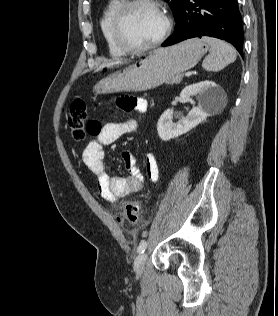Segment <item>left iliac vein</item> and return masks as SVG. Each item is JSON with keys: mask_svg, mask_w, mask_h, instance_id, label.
I'll use <instances>...</instances> for the list:
<instances>
[{"mask_svg": "<svg viewBox=\"0 0 278 316\" xmlns=\"http://www.w3.org/2000/svg\"><path fill=\"white\" fill-rule=\"evenodd\" d=\"M147 254L141 253L134 262V270L137 274H141L146 264Z\"/></svg>", "mask_w": 278, "mask_h": 316, "instance_id": "1", "label": "left iliac vein"}]
</instances>
